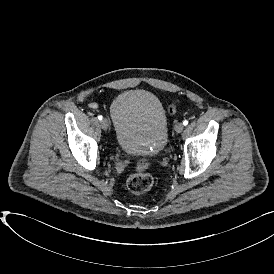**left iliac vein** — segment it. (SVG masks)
I'll use <instances>...</instances> for the list:
<instances>
[{"label": "left iliac vein", "instance_id": "left-iliac-vein-1", "mask_svg": "<svg viewBox=\"0 0 274 274\" xmlns=\"http://www.w3.org/2000/svg\"><path fill=\"white\" fill-rule=\"evenodd\" d=\"M175 131L177 132V133H181L182 131H183V129H184V125H183V123H181V122H179V123H177L176 125H175Z\"/></svg>", "mask_w": 274, "mask_h": 274}]
</instances>
